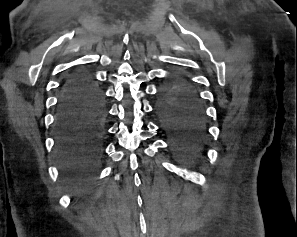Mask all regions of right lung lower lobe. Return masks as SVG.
Returning <instances> with one entry per match:
<instances>
[{"instance_id": "98d812e1", "label": "right lung lower lobe", "mask_w": 297, "mask_h": 237, "mask_svg": "<svg viewBox=\"0 0 297 237\" xmlns=\"http://www.w3.org/2000/svg\"><path fill=\"white\" fill-rule=\"evenodd\" d=\"M102 95L84 73L65 83L56 118V154L59 167L72 174H92L99 165L102 149Z\"/></svg>"}]
</instances>
